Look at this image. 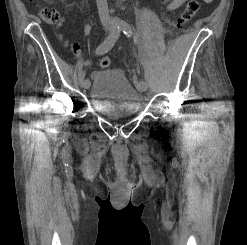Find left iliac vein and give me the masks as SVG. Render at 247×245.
<instances>
[{"instance_id":"4c4485c4","label":"left iliac vein","mask_w":247,"mask_h":245,"mask_svg":"<svg viewBox=\"0 0 247 245\" xmlns=\"http://www.w3.org/2000/svg\"><path fill=\"white\" fill-rule=\"evenodd\" d=\"M137 87H138V89L140 90V91H146V89H147V86H142V85H140V84H137Z\"/></svg>"}]
</instances>
